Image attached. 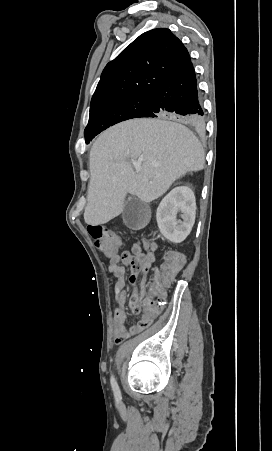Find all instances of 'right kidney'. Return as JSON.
Here are the masks:
<instances>
[{"label": "right kidney", "mask_w": 272, "mask_h": 451, "mask_svg": "<svg viewBox=\"0 0 272 451\" xmlns=\"http://www.w3.org/2000/svg\"><path fill=\"white\" fill-rule=\"evenodd\" d=\"M178 212L182 220H176ZM196 202L194 192L187 186H179L171 190L162 202L157 212V224L164 237L180 243L189 235L195 222Z\"/></svg>", "instance_id": "1"}]
</instances>
